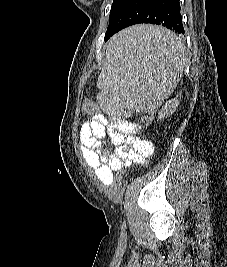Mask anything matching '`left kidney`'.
Masks as SVG:
<instances>
[{
    "instance_id": "left-kidney-1",
    "label": "left kidney",
    "mask_w": 227,
    "mask_h": 267,
    "mask_svg": "<svg viewBox=\"0 0 227 267\" xmlns=\"http://www.w3.org/2000/svg\"><path fill=\"white\" fill-rule=\"evenodd\" d=\"M179 105L178 96L176 98H173L165 103V105L162 107V109L158 113V119L161 121V119L165 118L166 116H170L174 113V111L177 109Z\"/></svg>"
}]
</instances>
